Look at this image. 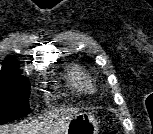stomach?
I'll return each instance as SVG.
<instances>
[{
	"mask_svg": "<svg viewBox=\"0 0 153 134\" xmlns=\"http://www.w3.org/2000/svg\"><path fill=\"white\" fill-rule=\"evenodd\" d=\"M96 119L87 112L75 113L64 134H98Z\"/></svg>",
	"mask_w": 153,
	"mask_h": 134,
	"instance_id": "obj_1",
	"label": "stomach"
}]
</instances>
